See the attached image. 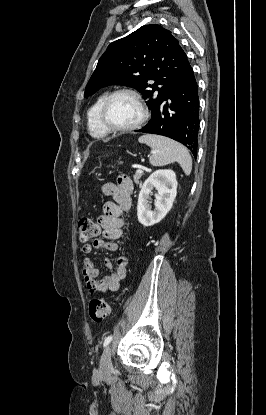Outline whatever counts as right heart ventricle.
Wrapping results in <instances>:
<instances>
[{
  "label": "right heart ventricle",
  "mask_w": 266,
  "mask_h": 415,
  "mask_svg": "<svg viewBox=\"0 0 266 415\" xmlns=\"http://www.w3.org/2000/svg\"><path fill=\"white\" fill-rule=\"evenodd\" d=\"M108 94V92H104L99 95L87 112L88 131L94 138H103L109 134V131L102 125L100 120L101 107Z\"/></svg>",
  "instance_id": "1"
}]
</instances>
